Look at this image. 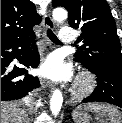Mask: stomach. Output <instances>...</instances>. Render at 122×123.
<instances>
[{"instance_id": "stomach-1", "label": "stomach", "mask_w": 122, "mask_h": 123, "mask_svg": "<svg viewBox=\"0 0 122 123\" xmlns=\"http://www.w3.org/2000/svg\"><path fill=\"white\" fill-rule=\"evenodd\" d=\"M75 123H90L91 117L87 113H80L78 115H73Z\"/></svg>"}]
</instances>
